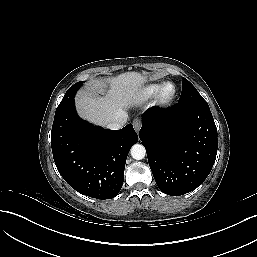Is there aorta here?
<instances>
[{
  "label": "aorta",
  "mask_w": 257,
  "mask_h": 257,
  "mask_svg": "<svg viewBox=\"0 0 257 257\" xmlns=\"http://www.w3.org/2000/svg\"><path fill=\"white\" fill-rule=\"evenodd\" d=\"M131 156L135 160H142L146 155L145 147L141 144H135L130 150Z\"/></svg>",
  "instance_id": "aorta-1"
}]
</instances>
